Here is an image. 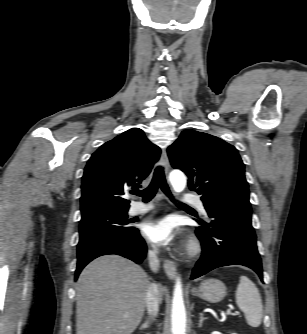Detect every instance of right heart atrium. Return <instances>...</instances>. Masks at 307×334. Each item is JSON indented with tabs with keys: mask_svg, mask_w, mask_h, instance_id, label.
<instances>
[{
	"mask_svg": "<svg viewBox=\"0 0 307 334\" xmlns=\"http://www.w3.org/2000/svg\"><path fill=\"white\" fill-rule=\"evenodd\" d=\"M149 253L150 254H154V250L153 249H149Z\"/></svg>",
	"mask_w": 307,
	"mask_h": 334,
	"instance_id": "obj_1",
	"label": "right heart atrium"
}]
</instances>
